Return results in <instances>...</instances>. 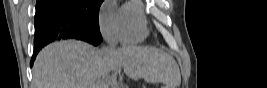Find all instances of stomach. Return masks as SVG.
<instances>
[{
  "instance_id": "0dacf381",
  "label": "stomach",
  "mask_w": 267,
  "mask_h": 88,
  "mask_svg": "<svg viewBox=\"0 0 267 88\" xmlns=\"http://www.w3.org/2000/svg\"><path fill=\"white\" fill-rule=\"evenodd\" d=\"M161 88H170L168 85H166V86H163V87H161Z\"/></svg>"
}]
</instances>
